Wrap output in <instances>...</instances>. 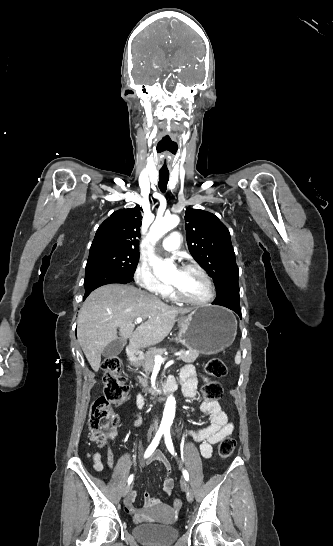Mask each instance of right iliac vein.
<instances>
[{
    "label": "right iliac vein",
    "mask_w": 333,
    "mask_h": 546,
    "mask_svg": "<svg viewBox=\"0 0 333 546\" xmlns=\"http://www.w3.org/2000/svg\"><path fill=\"white\" fill-rule=\"evenodd\" d=\"M130 489H131V488H130L129 485L126 486V487L124 488V490H123V496H126V495L128 494V492L130 491Z\"/></svg>",
    "instance_id": "63e3f726"
}]
</instances>
